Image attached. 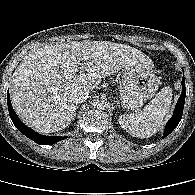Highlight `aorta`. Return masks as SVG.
Segmentation results:
<instances>
[{
	"instance_id": "aorta-1",
	"label": "aorta",
	"mask_w": 195,
	"mask_h": 195,
	"mask_svg": "<svg viewBox=\"0 0 195 195\" xmlns=\"http://www.w3.org/2000/svg\"><path fill=\"white\" fill-rule=\"evenodd\" d=\"M93 106L98 110L104 109L106 107V101L103 99H97L94 101Z\"/></svg>"
}]
</instances>
